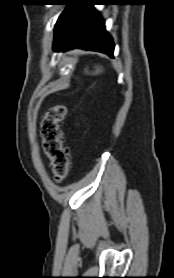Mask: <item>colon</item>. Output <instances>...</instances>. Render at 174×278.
I'll use <instances>...</instances> for the list:
<instances>
[{
	"mask_svg": "<svg viewBox=\"0 0 174 278\" xmlns=\"http://www.w3.org/2000/svg\"><path fill=\"white\" fill-rule=\"evenodd\" d=\"M66 115V106L57 104L48 110L41 123L43 149L58 181L67 176L70 167V151L65 146L62 129Z\"/></svg>",
	"mask_w": 174,
	"mask_h": 278,
	"instance_id": "obj_1",
	"label": "colon"
}]
</instances>
